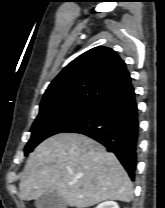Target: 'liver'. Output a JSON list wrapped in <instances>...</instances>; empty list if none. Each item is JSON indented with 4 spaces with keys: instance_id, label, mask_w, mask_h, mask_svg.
<instances>
[{
    "instance_id": "liver-1",
    "label": "liver",
    "mask_w": 165,
    "mask_h": 208,
    "mask_svg": "<svg viewBox=\"0 0 165 208\" xmlns=\"http://www.w3.org/2000/svg\"><path fill=\"white\" fill-rule=\"evenodd\" d=\"M19 189L26 201L57 192L77 208L133 199L132 182L117 157L78 133H59L39 144L27 160Z\"/></svg>"
}]
</instances>
